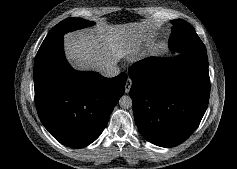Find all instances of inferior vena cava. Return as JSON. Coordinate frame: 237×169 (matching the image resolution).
I'll list each match as a JSON object with an SVG mask.
<instances>
[{
    "mask_svg": "<svg viewBox=\"0 0 237 169\" xmlns=\"http://www.w3.org/2000/svg\"><path fill=\"white\" fill-rule=\"evenodd\" d=\"M101 74L108 78L115 77L120 74V68L116 64H109L102 69Z\"/></svg>",
    "mask_w": 237,
    "mask_h": 169,
    "instance_id": "602c4592",
    "label": "inferior vena cava"
}]
</instances>
